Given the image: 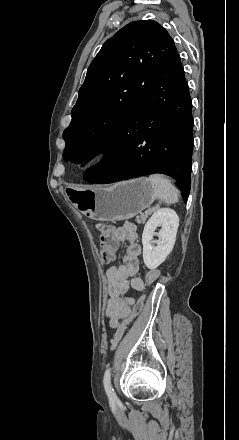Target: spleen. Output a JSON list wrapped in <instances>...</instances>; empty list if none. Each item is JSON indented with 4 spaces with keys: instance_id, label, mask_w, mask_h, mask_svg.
<instances>
[{
    "instance_id": "spleen-1",
    "label": "spleen",
    "mask_w": 239,
    "mask_h": 440,
    "mask_svg": "<svg viewBox=\"0 0 239 440\" xmlns=\"http://www.w3.org/2000/svg\"><path fill=\"white\" fill-rule=\"evenodd\" d=\"M148 180L154 186L157 200H163L166 204H176L178 202L179 190L171 184L170 180H166L162 174H152Z\"/></svg>"
}]
</instances>
